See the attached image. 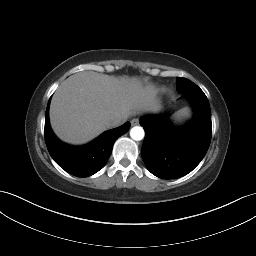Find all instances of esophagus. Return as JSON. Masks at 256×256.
Instances as JSON below:
<instances>
[{
  "label": "esophagus",
  "instance_id": "esophagus-1",
  "mask_svg": "<svg viewBox=\"0 0 256 256\" xmlns=\"http://www.w3.org/2000/svg\"><path fill=\"white\" fill-rule=\"evenodd\" d=\"M137 124H139V119L134 118V119L131 120V125H132V126H135V125H137Z\"/></svg>",
  "mask_w": 256,
  "mask_h": 256
}]
</instances>
